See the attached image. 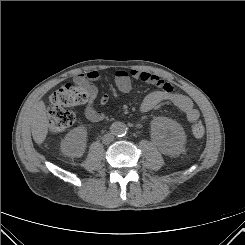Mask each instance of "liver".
I'll return each mask as SVG.
<instances>
[{"label": "liver", "mask_w": 245, "mask_h": 245, "mask_svg": "<svg viewBox=\"0 0 245 245\" xmlns=\"http://www.w3.org/2000/svg\"><path fill=\"white\" fill-rule=\"evenodd\" d=\"M49 121L46 107L43 101H39L34 106L32 118V136L34 141L40 145L46 139L48 133Z\"/></svg>", "instance_id": "1"}]
</instances>
